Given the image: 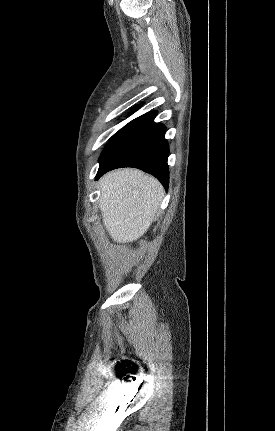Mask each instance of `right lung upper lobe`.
I'll use <instances>...</instances> for the list:
<instances>
[{"instance_id":"cb5924a9","label":"right lung upper lobe","mask_w":275,"mask_h":431,"mask_svg":"<svg viewBox=\"0 0 275 431\" xmlns=\"http://www.w3.org/2000/svg\"><path fill=\"white\" fill-rule=\"evenodd\" d=\"M138 109H139V106H137V107L134 108V110H138Z\"/></svg>"}]
</instances>
